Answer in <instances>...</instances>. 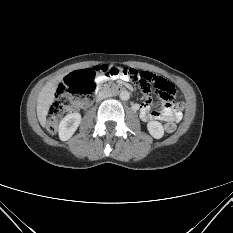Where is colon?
I'll list each match as a JSON object with an SVG mask.
<instances>
[{
  "label": "colon",
  "instance_id": "colon-1",
  "mask_svg": "<svg viewBox=\"0 0 233 233\" xmlns=\"http://www.w3.org/2000/svg\"><path fill=\"white\" fill-rule=\"evenodd\" d=\"M97 74L125 78L140 85L146 92L155 90L165 100L171 99L175 93L174 86L169 81L131 68L102 65L94 69L78 71L68 75L58 87L46 119L47 129L50 133L57 131L59 120L70 109L72 103L84 104L91 100L95 86L94 77ZM178 107L181 108V104H178ZM175 129L174 123L165 125L168 133H172Z\"/></svg>",
  "mask_w": 233,
  "mask_h": 233
}]
</instances>
